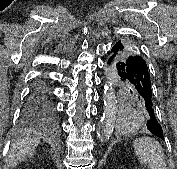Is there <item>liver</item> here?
<instances>
[{
    "label": "liver",
    "instance_id": "1",
    "mask_svg": "<svg viewBox=\"0 0 177 169\" xmlns=\"http://www.w3.org/2000/svg\"><path fill=\"white\" fill-rule=\"evenodd\" d=\"M40 143V138L27 136L16 141L11 148L8 158V167L14 168L23 161L26 155H31L36 146Z\"/></svg>",
    "mask_w": 177,
    "mask_h": 169
}]
</instances>
